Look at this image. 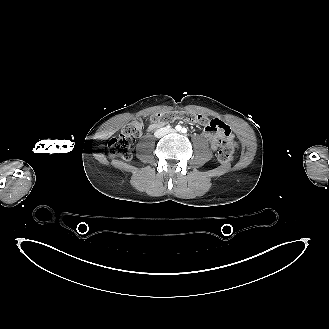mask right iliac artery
Masks as SVG:
<instances>
[{"label":"right iliac artery","mask_w":329,"mask_h":329,"mask_svg":"<svg viewBox=\"0 0 329 329\" xmlns=\"http://www.w3.org/2000/svg\"><path fill=\"white\" fill-rule=\"evenodd\" d=\"M181 126L180 125H177L176 127H175V129L177 130V131H180L181 130Z\"/></svg>","instance_id":"obj_1"}]
</instances>
